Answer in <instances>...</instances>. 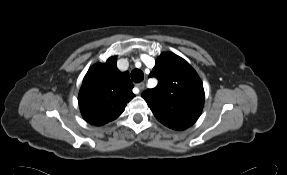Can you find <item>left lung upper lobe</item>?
Masks as SVG:
<instances>
[{"mask_svg":"<svg viewBox=\"0 0 287 175\" xmlns=\"http://www.w3.org/2000/svg\"><path fill=\"white\" fill-rule=\"evenodd\" d=\"M159 84L142 93L156 119L165 126L181 131L192 126L204 106L203 84L192 66L183 58L162 53L149 75Z\"/></svg>","mask_w":287,"mask_h":175,"instance_id":"5c2ea615","label":"left lung upper lobe"}]
</instances>
